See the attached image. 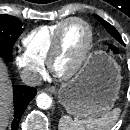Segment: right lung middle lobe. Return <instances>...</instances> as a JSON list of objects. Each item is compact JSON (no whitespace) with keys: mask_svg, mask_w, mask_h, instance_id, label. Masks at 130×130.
Listing matches in <instances>:
<instances>
[{"mask_svg":"<svg viewBox=\"0 0 130 130\" xmlns=\"http://www.w3.org/2000/svg\"><path fill=\"white\" fill-rule=\"evenodd\" d=\"M22 22L10 15H0V57L12 61V49L21 35Z\"/></svg>","mask_w":130,"mask_h":130,"instance_id":"right-lung-middle-lobe-1","label":"right lung middle lobe"}]
</instances>
